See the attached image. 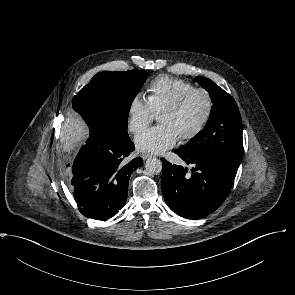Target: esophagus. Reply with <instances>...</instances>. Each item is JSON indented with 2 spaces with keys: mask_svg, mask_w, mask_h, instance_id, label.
Returning <instances> with one entry per match:
<instances>
[{
  "mask_svg": "<svg viewBox=\"0 0 295 295\" xmlns=\"http://www.w3.org/2000/svg\"><path fill=\"white\" fill-rule=\"evenodd\" d=\"M141 157L143 160H146V159L150 158L151 155L150 154H142Z\"/></svg>",
  "mask_w": 295,
  "mask_h": 295,
  "instance_id": "esophagus-1",
  "label": "esophagus"
}]
</instances>
